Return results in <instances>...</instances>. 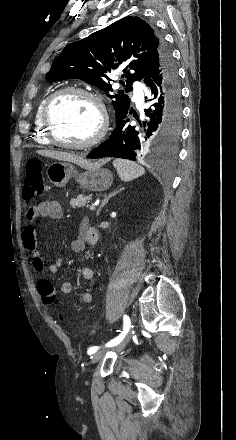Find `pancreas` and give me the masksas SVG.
Instances as JSON below:
<instances>
[{"label":"pancreas","instance_id":"1","mask_svg":"<svg viewBox=\"0 0 236 440\" xmlns=\"http://www.w3.org/2000/svg\"><path fill=\"white\" fill-rule=\"evenodd\" d=\"M90 200H91V195L89 196L78 195L76 198L71 199L70 205L73 208H82L88 206Z\"/></svg>","mask_w":236,"mask_h":440}]
</instances>
